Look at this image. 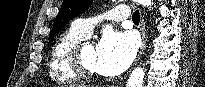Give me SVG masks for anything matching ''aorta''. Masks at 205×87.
Returning <instances> with one entry per match:
<instances>
[{"label": "aorta", "instance_id": "762f6f07", "mask_svg": "<svg viewBox=\"0 0 205 87\" xmlns=\"http://www.w3.org/2000/svg\"><path fill=\"white\" fill-rule=\"evenodd\" d=\"M141 5L146 7L152 6V0H137ZM145 70L137 66L130 74L126 87H142L144 82Z\"/></svg>", "mask_w": 205, "mask_h": 87}]
</instances>
